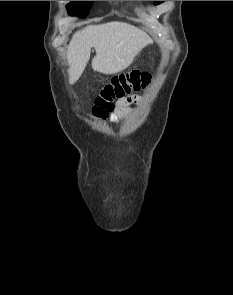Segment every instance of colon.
Wrapping results in <instances>:
<instances>
[{
    "label": "colon",
    "mask_w": 233,
    "mask_h": 295,
    "mask_svg": "<svg viewBox=\"0 0 233 295\" xmlns=\"http://www.w3.org/2000/svg\"><path fill=\"white\" fill-rule=\"evenodd\" d=\"M150 82L149 74L131 71L114 76L95 99L92 114L104 119L114 110L115 99L134 97L133 93L145 89Z\"/></svg>",
    "instance_id": "1"
}]
</instances>
